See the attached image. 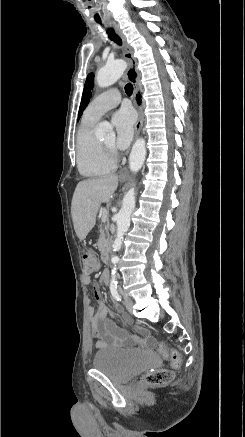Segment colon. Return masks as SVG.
I'll list each match as a JSON object with an SVG mask.
<instances>
[{"label":"colon","mask_w":245,"mask_h":437,"mask_svg":"<svg viewBox=\"0 0 245 437\" xmlns=\"http://www.w3.org/2000/svg\"><path fill=\"white\" fill-rule=\"evenodd\" d=\"M100 262L94 251L88 249L83 255V270L87 275L95 274L100 271ZM159 353L166 359H170L172 369H178L181 366V356L175 349H170L166 344L158 345ZM174 377L173 370L158 369L145 376V381L151 385H162L169 383Z\"/></svg>","instance_id":"obj_1"}]
</instances>
